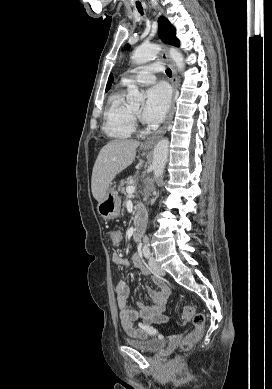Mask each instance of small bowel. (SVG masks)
Segmentation results:
<instances>
[{
	"label": "small bowel",
	"instance_id": "c3829d8e",
	"mask_svg": "<svg viewBox=\"0 0 272 389\" xmlns=\"http://www.w3.org/2000/svg\"><path fill=\"white\" fill-rule=\"evenodd\" d=\"M112 260L116 264L126 265L128 260L119 253H114ZM135 266L145 276H150L151 272L145 268L137 256L133 257ZM152 281L157 285L158 289H148V294L152 298V304L147 305L142 302H137L135 307L127 306L129 296V284L126 280H120L116 284L115 294L120 311V320L125 332L137 339H146L157 333L155 324L167 322L168 318L163 314L166 306L170 288L160 277L151 275Z\"/></svg>",
	"mask_w": 272,
	"mask_h": 389
}]
</instances>
